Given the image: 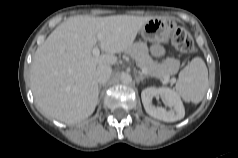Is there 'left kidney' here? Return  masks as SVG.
Segmentation results:
<instances>
[{
    "mask_svg": "<svg viewBox=\"0 0 238 158\" xmlns=\"http://www.w3.org/2000/svg\"><path fill=\"white\" fill-rule=\"evenodd\" d=\"M154 97H161L165 101L166 106L170 107V110L167 111L166 108L153 105ZM141 98L145 111L156 119L175 122L181 120L185 115V109L180 97L170 88H145L141 93Z\"/></svg>",
    "mask_w": 238,
    "mask_h": 158,
    "instance_id": "1",
    "label": "left kidney"
}]
</instances>
